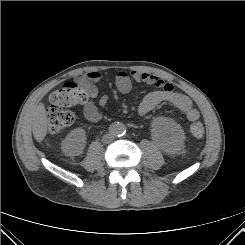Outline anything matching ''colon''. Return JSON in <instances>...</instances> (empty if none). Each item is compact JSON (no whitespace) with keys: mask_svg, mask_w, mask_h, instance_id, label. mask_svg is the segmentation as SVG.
Masks as SVG:
<instances>
[{"mask_svg":"<svg viewBox=\"0 0 245 245\" xmlns=\"http://www.w3.org/2000/svg\"><path fill=\"white\" fill-rule=\"evenodd\" d=\"M90 98L89 91L78 82H66L61 85L50 97L48 110V129L57 134L72 125L74 114L67 110L77 104H83ZM190 133L196 138L204 135V126L200 122L190 125Z\"/></svg>","mask_w":245,"mask_h":245,"instance_id":"1","label":"colon"}]
</instances>
